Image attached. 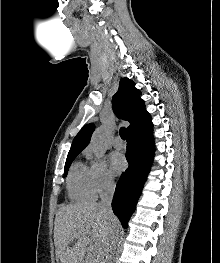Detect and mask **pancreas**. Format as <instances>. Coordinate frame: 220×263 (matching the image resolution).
I'll use <instances>...</instances> for the list:
<instances>
[{"label":"pancreas","instance_id":"1","mask_svg":"<svg viewBox=\"0 0 220 263\" xmlns=\"http://www.w3.org/2000/svg\"><path fill=\"white\" fill-rule=\"evenodd\" d=\"M93 263H103V258L102 259H100L99 257L94 258Z\"/></svg>","mask_w":220,"mask_h":263}]
</instances>
